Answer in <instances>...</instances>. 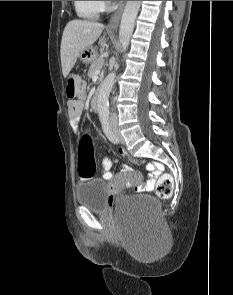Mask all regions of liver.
<instances>
[{
    "instance_id": "6515ba94",
    "label": "liver",
    "mask_w": 233,
    "mask_h": 295,
    "mask_svg": "<svg viewBox=\"0 0 233 295\" xmlns=\"http://www.w3.org/2000/svg\"><path fill=\"white\" fill-rule=\"evenodd\" d=\"M104 25L88 20H71L66 25L61 40V66L66 78L75 65L80 53L93 45L104 30ZM106 46L102 43L101 52Z\"/></svg>"
}]
</instances>
